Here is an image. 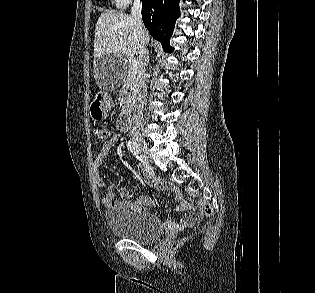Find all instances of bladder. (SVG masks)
I'll return each mask as SVG.
<instances>
[{"mask_svg": "<svg viewBox=\"0 0 315 293\" xmlns=\"http://www.w3.org/2000/svg\"><path fill=\"white\" fill-rule=\"evenodd\" d=\"M111 231L119 237L139 243H149L162 234L159 222L152 216L130 208L120 206L105 213Z\"/></svg>", "mask_w": 315, "mask_h": 293, "instance_id": "1", "label": "bladder"}]
</instances>
